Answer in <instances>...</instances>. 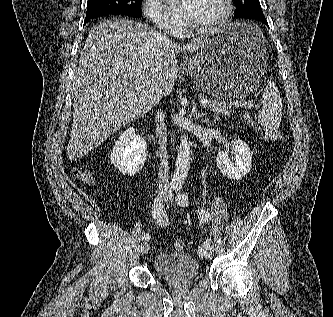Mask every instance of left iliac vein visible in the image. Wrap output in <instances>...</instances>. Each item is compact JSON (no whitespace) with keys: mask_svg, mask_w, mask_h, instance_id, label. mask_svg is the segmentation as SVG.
Instances as JSON below:
<instances>
[{"mask_svg":"<svg viewBox=\"0 0 333 317\" xmlns=\"http://www.w3.org/2000/svg\"><path fill=\"white\" fill-rule=\"evenodd\" d=\"M168 202H172V195L171 194H169L168 196H167V199H166ZM213 253H214V249H213V247L210 245V246H208V248L206 249V251H205V258L206 259H212V257H213Z\"/></svg>","mask_w":333,"mask_h":317,"instance_id":"obj_1","label":"left iliac vein"}]
</instances>
